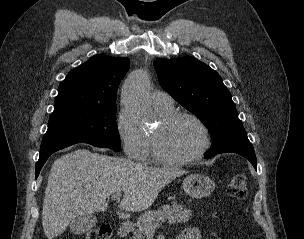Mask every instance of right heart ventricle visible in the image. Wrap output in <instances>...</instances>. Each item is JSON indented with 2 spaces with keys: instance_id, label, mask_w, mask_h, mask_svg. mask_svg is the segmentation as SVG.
<instances>
[{
  "instance_id": "right-heart-ventricle-1",
  "label": "right heart ventricle",
  "mask_w": 304,
  "mask_h": 239,
  "mask_svg": "<svg viewBox=\"0 0 304 239\" xmlns=\"http://www.w3.org/2000/svg\"><path fill=\"white\" fill-rule=\"evenodd\" d=\"M154 109L161 117H164V116L174 112L173 106H171V107L154 106Z\"/></svg>"
}]
</instances>
